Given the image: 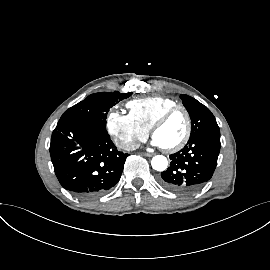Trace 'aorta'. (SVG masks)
Here are the masks:
<instances>
[{
  "mask_svg": "<svg viewBox=\"0 0 270 270\" xmlns=\"http://www.w3.org/2000/svg\"><path fill=\"white\" fill-rule=\"evenodd\" d=\"M151 165L156 171H164L168 166V161L165 156L156 155L152 158Z\"/></svg>",
  "mask_w": 270,
  "mask_h": 270,
  "instance_id": "1",
  "label": "aorta"
}]
</instances>
